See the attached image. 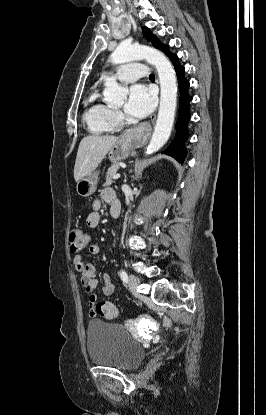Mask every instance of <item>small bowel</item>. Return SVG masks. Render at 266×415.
<instances>
[{"label": "small bowel", "instance_id": "c3829d8e", "mask_svg": "<svg viewBox=\"0 0 266 415\" xmlns=\"http://www.w3.org/2000/svg\"><path fill=\"white\" fill-rule=\"evenodd\" d=\"M101 199L110 205V211L113 216H117L120 204L117 199L116 193L111 188H105L101 192ZM101 206L100 200H95L93 203V208L87 216L86 223L90 228H95L98 226L100 221V213L99 209ZM89 253L93 256H98L100 253V247L96 243H92L89 246ZM74 268L81 274V283L89 292L88 296V305L90 308V314H93V308L97 301V296L93 293V290L97 287L98 281L95 277L96 268L94 264L85 263L82 259L80 254H76L73 256L72 259ZM104 284L102 286V292L104 295H111L114 290L115 286L111 282L110 277L108 274L103 275Z\"/></svg>", "mask_w": 266, "mask_h": 415}]
</instances>
